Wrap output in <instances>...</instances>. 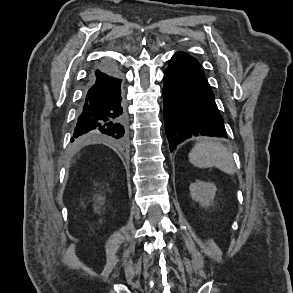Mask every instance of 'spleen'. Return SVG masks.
<instances>
[{"label": "spleen", "instance_id": "obj_1", "mask_svg": "<svg viewBox=\"0 0 293 293\" xmlns=\"http://www.w3.org/2000/svg\"><path fill=\"white\" fill-rule=\"evenodd\" d=\"M189 161L199 168L216 167L229 175L235 173L231 152L223 144L211 139L197 142L189 154Z\"/></svg>", "mask_w": 293, "mask_h": 293}]
</instances>
